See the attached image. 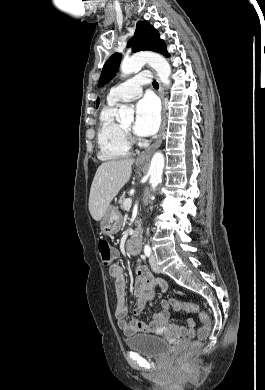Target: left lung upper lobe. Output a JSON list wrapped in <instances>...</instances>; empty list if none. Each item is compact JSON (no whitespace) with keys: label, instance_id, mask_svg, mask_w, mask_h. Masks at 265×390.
Returning <instances> with one entry per match:
<instances>
[{"label":"left lung upper lobe","instance_id":"left-lung-upper-lobe-1","mask_svg":"<svg viewBox=\"0 0 265 390\" xmlns=\"http://www.w3.org/2000/svg\"><path fill=\"white\" fill-rule=\"evenodd\" d=\"M131 45L133 52L148 50L169 56L166 45L160 39L158 31L146 21L137 23L134 37L129 41V46ZM121 58V54L115 53L106 61L99 79V87L108 83L115 76L119 69Z\"/></svg>","mask_w":265,"mask_h":390}]
</instances>
